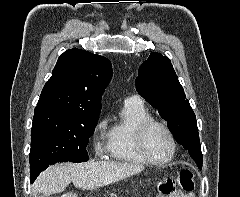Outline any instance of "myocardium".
<instances>
[{"label": "myocardium", "mask_w": 240, "mask_h": 197, "mask_svg": "<svg viewBox=\"0 0 240 197\" xmlns=\"http://www.w3.org/2000/svg\"><path fill=\"white\" fill-rule=\"evenodd\" d=\"M158 125L162 127L166 133L168 134L171 144H172V151L168 158L164 160H156L150 156L147 151L146 144H145V136L148 129L153 126ZM134 142L135 146L139 152V154L143 157V159L153 165L163 166L171 161L174 160L176 153H177V141L176 138L171 130V128L163 121L155 119V118H147L146 120L142 121L140 124L137 125L134 131Z\"/></svg>", "instance_id": "f54148a6"}]
</instances>
